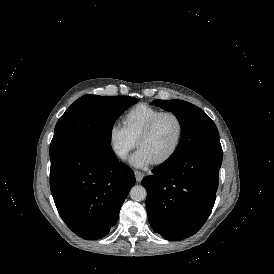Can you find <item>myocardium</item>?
Here are the masks:
<instances>
[{"mask_svg": "<svg viewBox=\"0 0 274 274\" xmlns=\"http://www.w3.org/2000/svg\"><path fill=\"white\" fill-rule=\"evenodd\" d=\"M165 116H172L176 119L177 123H178V133L174 142V145L172 147V149L170 150V152L163 157L160 160H157L155 162L152 163V165L154 166H161L164 165L166 163H168L177 153L179 146L181 144L182 138H183V133H184V123L182 118L179 116V114H177L174 111H162L159 114H157L144 128L143 130H141V132L137 135L136 139H135V145L136 147H138L139 142L147 137L156 127L157 123L160 121L161 118L165 117Z\"/></svg>", "mask_w": 274, "mask_h": 274, "instance_id": "1", "label": "myocardium"}]
</instances>
